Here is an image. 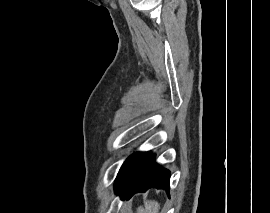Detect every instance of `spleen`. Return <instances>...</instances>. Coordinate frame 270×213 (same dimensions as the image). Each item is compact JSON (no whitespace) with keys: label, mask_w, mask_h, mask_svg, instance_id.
<instances>
[{"label":"spleen","mask_w":270,"mask_h":213,"mask_svg":"<svg viewBox=\"0 0 270 213\" xmlns=\"http://www.w3.org/2000/svg\"><path fill=\"white\" fill-rule=\"evenodd\" d=\"M160 205L157 201L154 200H148L145 202V206L138 207L137 213H159Z\"/></svg>","instance_id":"1"}]
</instances>
